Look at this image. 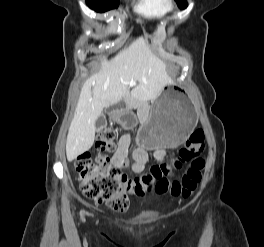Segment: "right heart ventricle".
Instances as JSON below:
<instances>
[{
	"instance_id": "e07e8e85",
	"label": "right heart ventricle",
	"mask_w": 264,
	"mask_h": 247,
	"mask_svg": "<svg viewBox=\"0 0 264 247\" xmlns=\"http://www.w3.org/2000/svg\"><path fill=\"white\" fill-rule=\"evenodd\" d=\"M138 12L150 19L168 17L174 12L173 0H140Z\"/></svg>"
}]
</instances>
